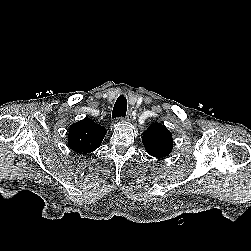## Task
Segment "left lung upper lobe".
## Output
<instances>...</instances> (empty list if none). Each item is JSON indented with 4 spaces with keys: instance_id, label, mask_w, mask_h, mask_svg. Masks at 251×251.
Segmentation results:
<instances>
[{
    "instance_id": "left-lung-upper-lobe-1",
    "label": "left lung upper lobe",
    "mask_w": 251,
    "mask_h": 251,
    "mask_svg": "<svg viewBox=\"0 0 251 251\" xmlns=\"http://www.w3.org/2000/svg\"><path fill=\"white\" fill-rule=\"evenodd\" d=\"M142 142L148 154L158 159L167 157L173 149L172 133L161 123L151 125L143 133Z\"/></svg>"
}]
</instances>
